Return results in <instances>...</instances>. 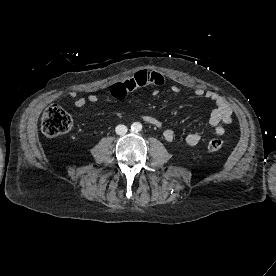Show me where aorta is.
Masks as SVG:
<instances>
[{
	"instance_id": "1",
	"label": "aorta",
	"mask_w": 276,
	"mask_h": 276,
	"mask_svg": "<svg viewBox=\"0 0 276 276\" xmlns=\"http://www.w3.org/2000/svg\"><path fill=\"white\" fill-rule=\"evenodd\" d=\"M131 129L135 132L141 131L142 130V124L139 122H135L132 124Z\"/></svg>"
}]
</instances>
